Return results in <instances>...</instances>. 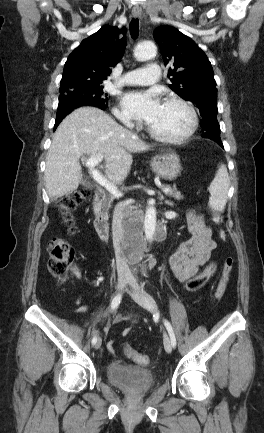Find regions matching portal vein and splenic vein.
Here are the masks:
<instances>
[{
	"mask_svg": "<svg viewBox=\"0 0 264 433\" xmlns=\"http://www.w3.org/2000/svg\"><path fill=\"white\" fill-rule=\"evenodd\" d=\"M103 160V155H98L95 157L85 158L86 166L89 168V172L92 175L93 179L101 186L106 188L113 197L120 198L122 197V193L117 190V187L114 186L111 182H109L105 177L101 175V173L96 169V166ZM163 193L168 194L173 191L172 188L166 187L162 189Z\"/></svg>",
	"mask_w": 264,
	"mask_h": 433,
	"instance_id": "portal-vein-and-splenic-vein-1",
	"label": "portal vein and splenic vein"
}]
</instances>
